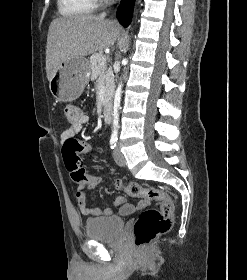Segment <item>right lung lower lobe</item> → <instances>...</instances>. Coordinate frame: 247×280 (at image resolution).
<instances>
[{"label":"right lung lower lobe","mask_w":247,"mask_h":280,"mask_svg":"<svg viewBox=\"0 0 247 280\" xmlns=\"http://www.w3.org/2000/svg\"><path fill=\"white\" fill-rule=\"evenodd\" d=\"M135 0H123L118 8L117 17L120 23L127 27L132 19Z\"/></svg>","instance_id":"1"}]
</instances>
